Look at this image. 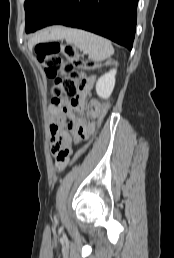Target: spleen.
<instances>
[{"label":"spleen","mask_w":174,"mask_h":258,"mask_svg":"<svg viewBox=\"0 0 174 258\" xmlns=\"http://www.w3.org/2000/svg\"><path fill=\"white\" fill-rule=\"evenodd\" d=\"M58 38H65L68 43L87 53L93 61L105 60L114 53L109 40L84 30L61 28Z\"/></svg>","instance_id":"spleen-1"}]
</instances>
